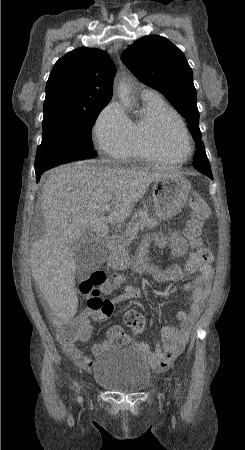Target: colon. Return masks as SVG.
<instances>
[{"label":"colon","mask_w":245,"mask_h":450,"mask_svg":"<svg viewBox=\"0 0 245 450\" xmlns=\"http://www.w3.org/2000/svg\"><path fill=\"white\" fill-rule=\"evenodd\" d=\"M187 206L190 210L183 233L188 244L196 249L200 259L205 263H210L213 259L211 251L203 245L202 227L204 221L210 213V209L199 193H191L187 200ZM122 281L119 275H107L102 270H92L84 278L81 290L85 293H91L90 307L93 310L106 309V301L99 298V294L110 293L118 282ZM125 324L131 329L127 334L120 328H113L109 331V337L114 345H125L131 342L134 335L140 334L145 328L146 321L143 315L134 309H129L124 315ZM52 325L56 329L59 337L65 341H77L83 339L88 333V326L83 321L53 319Z\"/></svg>","instance_id":"obj_1"}]
</instances>
